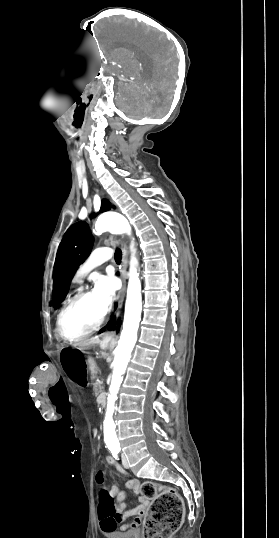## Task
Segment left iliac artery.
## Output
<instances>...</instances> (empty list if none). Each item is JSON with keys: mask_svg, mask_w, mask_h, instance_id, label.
<instances>
[{"mask_svg": "<svg viewBox=\"0 0 279 538\" xmlns=\"http://www.w3.org/2000/svg\"><path fill=\"white\" fill-rule=\"evenodd\" d=\"M118 453H119L118 450H116V451H112V454H113V456H114L115 458H118Z\"/></svg>", "mask_w": 279, "mask_h": 538, "instance_id": "44dca946", "label": "left iliac artery"}]
</instances>
